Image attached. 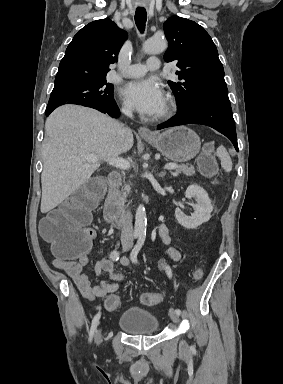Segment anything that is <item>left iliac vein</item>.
Listing matches in <instances>:
<instances>
[{
    "label": "left iliac vein",
    "mask_w": 283,
    "mask_h": 384,
    "mask_svg": "<svg viewBox=\"0 0 283 384\" xmlns=\"http://www.w3.org/2000/svg\"><path fill=\"white\" fill-rule=\"evenodd\" d=\"M169 316H170V318H171V320L174 322V323H178L179 322V315L176 313V311L173 309V308H171L170 310H169ZM180 348H181V350H183V351H186L187 350V348H188V344H187V342L185 341V340H182L181 342H180Z\"/></svg>",
    "instance_id": "left-iliac-vein-1"
}]
</instances>
